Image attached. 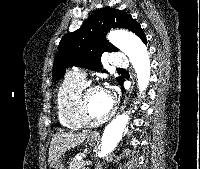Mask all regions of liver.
Masks as SVG:
<instances>
[{
	"label": "liver",
	"mask_w": 200,
	"mask_h": 169,
	"mask_svg": "<svg viewBox=\"0 0 200 169\" xmlns=\"http://www.w3.org/2000/svg\"><path fill=\"white\" fill-rule=\"evenodd\" d=\"M86 133L60 132L54 134L49 147L48 162L50 167L56 164L67 150L80 145L86 138Z\"/></svg>",
	"instance_id": "6515ba94"
}]
</instances>
